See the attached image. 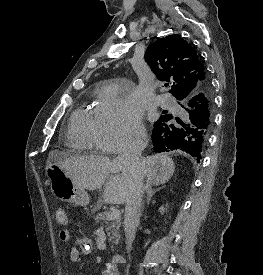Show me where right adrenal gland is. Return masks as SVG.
Instances as JSON below:
<instances>
[{"label":"right adrenal gland","instance_id":"2a0ac1e0","mask_svg":"<svg viewBox=\"0 0 263 275\" xmlns=\"http://www.w3.org/2000/svg\"><path fill=\"white\" fill-rule=\"evenodd\" d=\"M164 186L160 187V188H157V189H153L151 185H146L145 186V192L147 194V198H146V202L147 204L150 203L151 201V198L158 192L160 191L161 189H163ZM142 208H143V204H142Z\"/></svg>","mask_w":263,"mask_h":275}]
</instances>
